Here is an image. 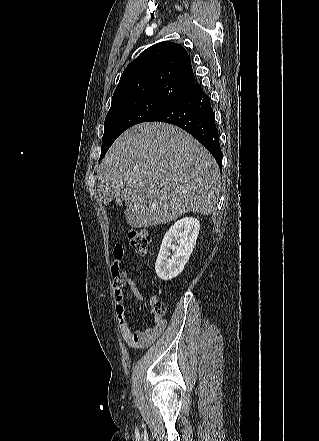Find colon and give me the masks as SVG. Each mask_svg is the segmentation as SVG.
I'll list each match as a JSON object with an SVG mask.
<instances>
[{
	"instance_id": "5ec220e1",
	"label": "colon",
	"mask_w": 319,
	"mask_h": 441,
	"mask_svg": "<svg viewBox=\"0 0 319 441\" xmlns=\"http://www.w3.org/2000/svg\"><path fill=\"white\" fill-rule=\"evenodd\" d=\"M128 239L131 247L138 256L144 257L148 255L151 244V236L147 230L134 229L130 231ZM116 274L117 269L115 270V275ZM152 311L155 315V325H159L163 321L165 306L160 302H156L152 305Z\"/></svg>"
}]
</instances>
